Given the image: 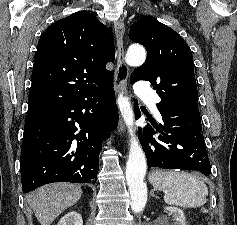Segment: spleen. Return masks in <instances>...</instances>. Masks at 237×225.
<instances>
[{
  "label": "spleen",
  "instance_id": "spleen-1",
  "mask_svg": "<svg viewBox=\"0 0 237 225\" xmlns=\"http://www.w3.org/2000/svg\"><path fill=\"white\" fill-rule=\"evenodd\" d=\"M154 188L163 191L164 201L170 205L186 208L203 206L208 188L196 175L184 171L156 170L149 176Z\"/></svg>",
  "mask_w": 237,
  "mask_h": 225
}]
</instances>
